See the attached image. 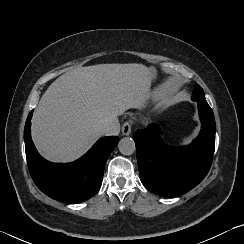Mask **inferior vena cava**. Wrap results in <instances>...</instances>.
Wrapping results in <instances>:
<instances>
[{
	"label": "inferior vena cava",
	"mask_w": 244,
	"mask_h": 244,
	"mask_svg": "<svg viewBox=\"0 0 244 244\" xmlns=\"http://www.w3.org/2000/svg\"><path fill=\"white\" fill-rule=\"evenodd\" d=\"M118 124L114 121H107L100 126L101 135H114L118 132Z\"/></svg>",
	"instance_id": "602c4592"
}]
</instances>
